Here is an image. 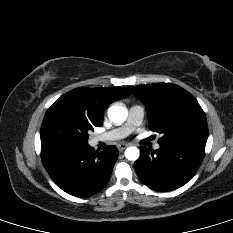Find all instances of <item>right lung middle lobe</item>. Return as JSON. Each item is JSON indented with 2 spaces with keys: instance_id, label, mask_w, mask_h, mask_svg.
Returning <instances> with one entry per match:
<instances>
[{
  "instance_id": "obj_1",
  "label": "right lung middle lobe",
  "mask_w": 233,
  "mask_h": 233,
  "mask_svg": "<svg viewBox=\"0 0 233 233\" xmlns=\"http://www.w3.org/2000/svg\"><path fill=\"white\" fill-rule=\"evenodd\" d=\"M101 125L102 122L89 119L68 100L60 97L46 111L40 131L41 144H87L88 132Z\"/></svg>"
}]
</instances>
